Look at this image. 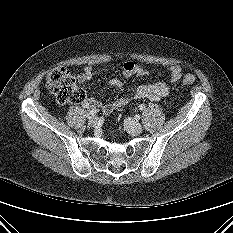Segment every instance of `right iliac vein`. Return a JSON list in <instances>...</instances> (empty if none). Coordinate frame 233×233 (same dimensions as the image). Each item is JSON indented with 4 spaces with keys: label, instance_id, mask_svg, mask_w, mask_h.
<instances>
[{
    "label": "right iliac vein",
    "instance_id": "obj_1",
    "mask_svg": "<svg viewBox=\"0 0 233 233\" xmlns=\"http://www.w3.org/2000/svg\"><path fill=\"white\" fill-rule=\"evenodd\" d=\"M88 125L92 128H95L98 126V118L97 117H92L91 119H89L88 121Z\"/></svg>",
    "mask_w": 233,
    "mask_h": 233
}]
</instances>
